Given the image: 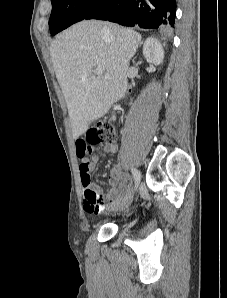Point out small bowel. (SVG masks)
<instances>
[{"mask_svg":"<svg viewBox=\"0 0 227 298\" xmlns=\"http://www.w3.org/2000/svg\"><path fill=\"white\" fill-rule=\"evenodd\" d=\"M77 158L82 160L80 164V176L81 184L84 191V209L88 213H96L101 211L105 207V203L120 199L127 195L130 190L129 179L121 172L119 167L113 166L110 170L109 184L111 185V190L103 194L101 188L90 182L89 171L94 169L99 155H95L91 160H88L89 155H94L93 146H89L87 139H75ZM117 151V145L106 144L102 153H115ZM88 177V182L84 183V178ZM91 193L95 196V201H91L88 196ZM126 198V197H125Z\"/></svg>","mask_w":227,"mask_h":298,"instance_id":"c3829d8e","label":"small bowel"}]
</instances>
